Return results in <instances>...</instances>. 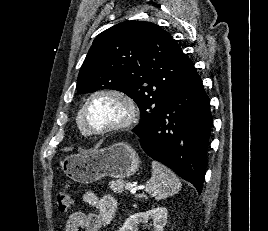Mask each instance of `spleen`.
<instances>
[{"label":"spleen","instance_id":"3e777b00","mask_svg":"<svg viewBox=\"0 0 268 231\" xmlns=\"http://www.w3.org/2000/svg\"><path fill=\"white\" fill-rule=\"evenodd\" d=\"M181 187V182L176 174L165 165L152 161V176L147 181L146 192L162 200L176 194Z\"/></svg>","mask_w":268,"mask_h":231}]
</instances>
